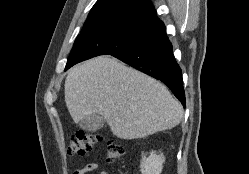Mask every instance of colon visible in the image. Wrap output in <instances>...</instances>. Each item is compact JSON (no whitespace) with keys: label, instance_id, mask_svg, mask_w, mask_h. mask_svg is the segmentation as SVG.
I'll list each match as a JSON object with an SVG mask.
<instances>
[{"label":"colon","instance_id":"5ec220e1","mask_svg":"<svg viewBox=\"0 0 249 174\" xmlns=\"http://www.w3.org/2000/svg\"><path fill=\"white\" fill-rule=\"evenodd\" d=\"M102 137L90 131H79L69 140L67 152L70 156H83L93 150ZM124 153L122 146L114 142L107 143L106 161L109 163L119 160Z\"/></svg>","mask_w":249,"mask_h":174}]
</instances>
